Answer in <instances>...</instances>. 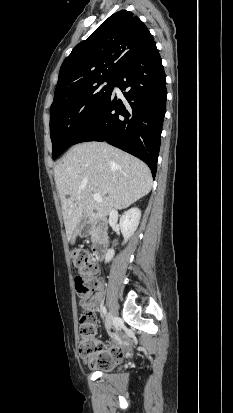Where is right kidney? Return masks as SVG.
Masks as SVG:
<instances>
[{
    "instance_id": "ca27d5eb",
    "label": "right kidney",
    "mask_w": 233,
    "mask_h": 413,
    "mask_svg": "<svg viewBox=\"0 0 233 413\" xmlns=\"http://www.w3.org/2000/svg\"><path fill=\"white\" fill-rule=\"evenodd\" d=\"M140 218L141 210L137 207L129 209L121 216L119 226L124 237L123 244H126L136 231L140 222ZM114 255L115 251L113 249H109L105 255V262H110L113 259Z\"/></svg>"
}]
</instances>
